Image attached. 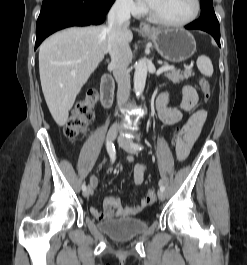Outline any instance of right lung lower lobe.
Returning <instances> with one entry per match:
<instances>
[{"label": "right lung lower lobe", "instance_id": "98d812e1", "mask_svg": "<svg viewBox=\"0 0 247 265\" xmlns=\"http://www.w3.org/2000/svg\"><path fill=\"white\" fill-rule=\"evenodd\" d=\"M115 0H43L35 49L50 34L70 26L100 24Z\"/></svg>", "mask_w": 247, "mask_h": 265}]
</instances>
